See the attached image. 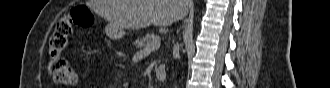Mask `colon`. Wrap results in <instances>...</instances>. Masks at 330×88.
<instances>
[{"label":"colon","instance_id":"obj_1","mask_svg":"<svg viewBox=\"0 0 330 88\" xmlns=\"http://www.w3.org/2000/svg\"><path fill=\"white\" fill-rule=\"evenodd\" d=\"M92 23V14L83 6L71 8L57 20L48 41V73L56 83L69 86L77 82L76 71L62 57V53L68 46V38L73 33V26L88 28Z\"/></svg>","mask_w":330,"mask_h":88}]
</instances>
